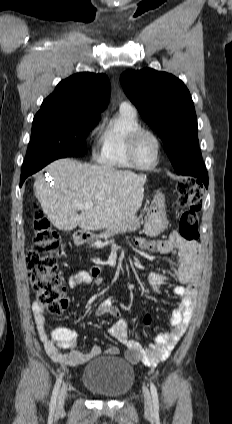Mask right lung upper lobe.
<instances>
[{"label":"right lung upper lobe","instance_id":"1","mask_svg":"<svg viewBox=\"0 0 232 424\" xmlns=\"http://www.w3.org/2000/svg\"><path fill=\"white\" fill-rule=\"evenodd\" d=\"M109 96L110 82L106 75L78 73L62 80L43 101L40 110L74 109L100 118Z\"/></svg>","mask_w":232,"mask_h":424}]
</instances>
